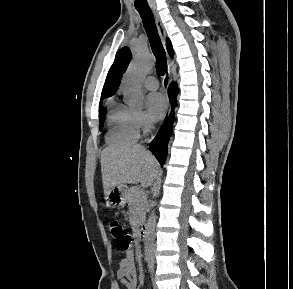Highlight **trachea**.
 I'll return each instance as SVG.
<instances>
[{"label":"trachea","mask_w":293,"mask_h":289,"mask_svg":"<svg viewBox=\"0 0 293 289\" xmlns=\"http://www.w3.org/2000/svg\"><path fill=\"white\" fill-rule=\"evenodd\" d=\"M137 11L142 18V22L150 42L152 52L156 57L157 70L160 75H164L167 70L166 55L160 37L158 35L153 13L150 8L137 9Z\"/></svg>","instance_id":"trachea-1"}]
</instances>
